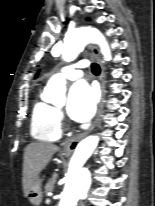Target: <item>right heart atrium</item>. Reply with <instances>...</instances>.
Wrapping results in <instances>:
<instances>
[{"label":"right heart atrium","instance_id":"obj_1","mask_svg":"<svg viewBox=\"0 0 155 206\" xmlns=\"http://www.w3.org/2000/svg\"><path fill=\"white\" fill-rule=\"evenodd\" d=\"M58 117H59L60 120H62V118H63V115L60 111H58Z\"/></svg>","mask_w":155,"mask_h":206}]
</instances>
